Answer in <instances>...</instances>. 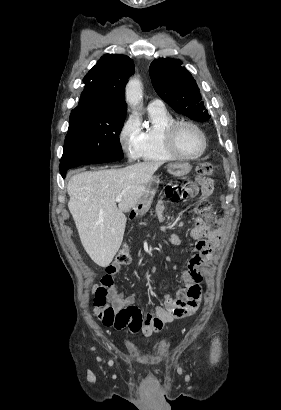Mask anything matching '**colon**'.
<instances>
[{
  "mask_svg": "<svg viewBox=\"0 0 281 410\" xmlns=\"http://www.w3.org/2000/svg\"><path fill=\"white\" fill-rule=\"evenodd\" d=\"M216 168L209 162H203L198 165L197 172L199 175L209 177L214 174ZM165 196L169 201L179 202L187 197L186 188L180 183H171L165 188ZM202 204L205 205V200H202ZM131 255L130 250L127 247H123L116 255V263L119 265H126L130 262ZM100 287L95 288L97 294ZM189 307L195 310L199 307L200 300L196 297H191ZM141 316L140 310H128L127 312L115 311L112 308L105 309L102 313L98 314V318L107 326H114L117 329H124L128 327L130 330H134L139 325V318ZM132 318L133 321H130Z\"/></svg>",
  "mask_w": 281,
  "mask_h": 410,
  "instance_id": "colon-1",
  "label": "colon"
}]
</instances>
